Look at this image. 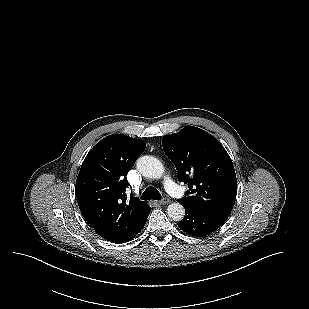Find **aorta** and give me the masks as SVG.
I'll list each match as a JSON object with an SVG mask.
<instances>
[{
  "mask_svg": "<svg viewBox=\"0 0 309 309\" xmlns=\"http://www.w3.org/2000/svg\"><path fill=\"white\" fill-rule=\"evenodd\" d=\"M137 169L139 172L151 179H159L164 174L163 164L153 156H142L137 160ZM169 218L174 221H181L185 216V209L182 204L174 202L167 208Z\"/></svg>",
  "mask_w": 309,
  "mask_h": 309,
  "instance_id": "aorta-1",
  "label": "aorta"
}]
</instances>
